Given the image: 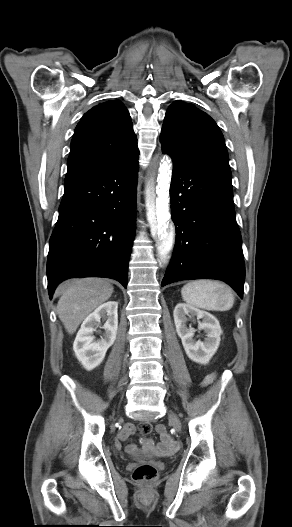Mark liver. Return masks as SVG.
Instances as JSON below:
<instances>
[{
	"label": "liver",
	"instance_id": "6515ba94",
	"mask_svg": "<svg viewBox=\"0 0 292 527\" xmlns=\"http://www.w3.org/2000/svg\"><path fill=\"white\" fill-rule=\"evenodd\" d=\"M113 291V286L100 278L74 279L59 285L56 292L61 297L57 313L66 331L73 334L93 310L111 297Z\"/></svg>",
	"mask_w": 292,
	"mask_h": 527
}]
</instances>
